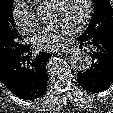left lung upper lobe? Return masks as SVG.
Instances as JSON below:
<instances>
[{
	"label": "left lung upper lobe",
	"mask_w": 113,
	"mask_h": 113,
	"mask_svg": "<svg viewBox=\"0 0 113 113\" xmlns=\"http://www.w3.org/2000/svg\"><path fill=\"white\" fill-rule=\"evenodd\" d=\"M94 14L84 33L93 35L100 32L113 33V9L109 0H93Z\"/></svg>",
	"instance_id": "obj_1"
}]
</instances>
